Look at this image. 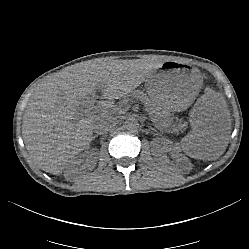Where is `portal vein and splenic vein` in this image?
I'll use <instances>...</instances> for the list:
<instances>
[{"instance_id":"portal-vein-and-splenic-vein-1","label":"portal vein and splenic vein","mask_w":249,"mask_h":249,"mask_svg":"<svg viewBox=\"0 0 249 249\" xmlns=\"http://www.w3.org/2000/svg\"><path fill=\"white\" fill-rule=\"evenodd\" d=\"M95 99H96V98H95ZM92 103H93V101H89V102H88V106H87V108L84 109V111H86V112H91V111H93V110H94V105H92Z\"/></svg>"}]
</instances>
